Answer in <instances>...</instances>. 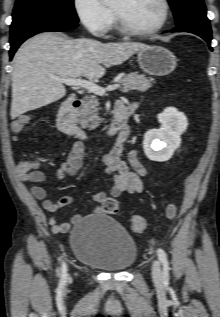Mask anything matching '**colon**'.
<instances>
[{
	"mask_svg": "<svg viewBox=\"0 0 220 317\" xmlns=\"http://www.w3.org/2000/svg\"><path fill=\"white\" fill-rule=\"evenodd\" d=\"M29 122L28 116H21L16 119L13 123V128L15 131L22 130L26 124ZM119 206L115 199L108 198L104 203V212L107 214H115L118 212ZM177 208L173 203H169L166 206V216L168 219L172 220L176 217ZM130 226L135 233H145L147 230V222L146 220L138 215H134L130 220Z\"/></svg>",
	"mask_w": 220,
	"mask_h": 317,
	"instance_id": "1",
	"label": "colon"
}]
</instances>
